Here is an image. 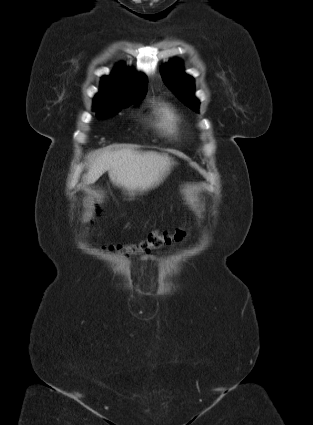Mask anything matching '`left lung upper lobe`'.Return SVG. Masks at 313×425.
Listing matches in <instances>:
<instances>
[{"instance_id":"1","label":"left lung upper lobe","mask_w":313,"mask_h":425,"mask_svg":"<svg viewBox=\"0 0 313 425\" xmlns=\"http://www.w3.org/2000/svg\"><path fill=\"white\" fill-rule=\"evenodd\" d=\"M165 84L189 108L198 111L199 101L194 96V80L183 71L181 61L173 60L161 68Z\"/></svg>"}]
</instances>
